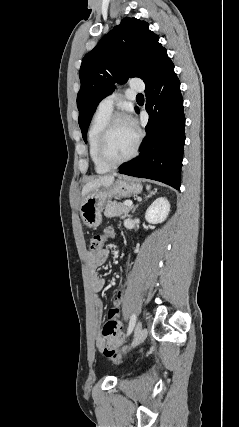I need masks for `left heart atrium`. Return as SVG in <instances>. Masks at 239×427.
Wrapping results in <instances>:
<instances>
[{
  "label": "left heart atrium",
  "mask_w": 239,
  "mask_h": 427,
  "mask_svg": "<svg viewBox=\"0 0 239 427\" xmlns=\"http://www.w3.org/2000/svg\"><path fill=\"white\" fill-rule=\"evenodd\" d=\"M129 125L135 130V124L132 120H128Z\"/></svg>",
  "instance_id": "obj_1"
}]
</instances>
